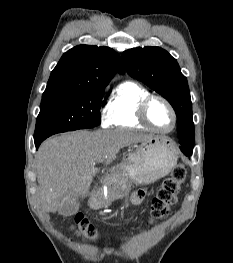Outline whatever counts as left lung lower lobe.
<instances>
[{"label":"left lung lower lobe","instance_id":"obj_1","mask_svg":"<svg viewBox=\"0 0 233 263\" xmlns=\"http://www.w3.org/2000/svg\"><path fill=\"white\" fill-rule=\"evenodd\" d=\"M179 144H180V149H181V151H182L186 156L192 155L193 146H191L190 144H188V143L185 142L184 140L179 141Z\"/></svg>","mask_w":233,"mask_h":263}]
</instances>
